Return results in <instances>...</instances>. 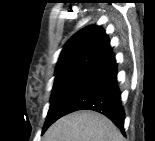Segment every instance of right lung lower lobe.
Masks as SVG:
<instances>
[{"instance_id": "right-lung-lower-lobe-1", "label": "right lung lower lobe", "mask_w": 155, "mask_h": 141, "mask_svg": "<svg viewBox=\"0 0 155 141\" xmlns=\"http://www.w3.org/2000/svg\"><path fill=\"white\" fill-rule=\"evenodd\" d=\"M84 109L104 114L124 134L125 113L117 82V64L113 54L67 101L60 111V117Z\"/></svg>"}]
</instances>
